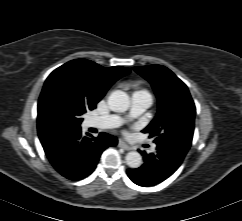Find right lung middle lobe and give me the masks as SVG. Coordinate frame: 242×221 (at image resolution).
I'll return each mask as SVG.
<instances>
[{"label": "right lung middle lobe", "mask_w": 242, "mask_h": 221, "mask_svg": "<svg viewBox=\"0 0 242 221\" xmlns=\"http://www.w3.org/2000/svg\"><path fill=\"white\" fill-rule=\"evenodd\" d=\"M54 106V125L59 128L60 132L79 129L83 120L81 115L88 110L81 101L61 95L55 97Z\"/></svg>", "instance_id": "right-lung-middle-lobe-1"}]
</instances>
